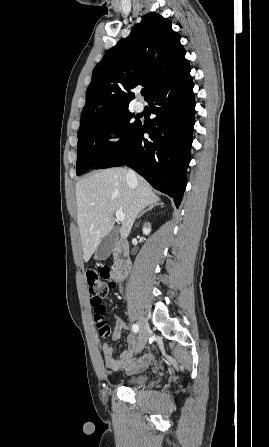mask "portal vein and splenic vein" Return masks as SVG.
I'll list each match as a JSON object with an SVG mask.
<instances>
[{
	"label": "portal vein and splenic vein",
	"instance_id": "obj_1",
	"mask_svg": "<svg viewBox=\"0 0 269 447\" xmlns=\"http://www.w3.org/2000/svg\"><path fill=\"white\" fill-rule=\"evenodd\" d=\"M115 216L118 222H123V220H125V214H123L122 210H116Z\"/></svg>",
	"mask_w": 269,
	"mask_h": 447
}]
</instances>
